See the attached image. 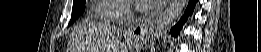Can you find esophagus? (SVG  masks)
<instances>
[{
    "label": "esophagus",
    "instance_id": "34e87169",
    "mask_svg": "<svg viewBox=\"0 0 261 52\" xmlns=\"http://www.w3.org/2000/svg\"><path fill=\"white\" fill-rule=\"evenodd\" d=\"M168 2V0L160 1L155 10L151 12V14L144 17L142 20L136 22L135 24L131 25L128 28L126 34L134 38H140L144 36L147 33L148 28L154 23V21L165 9Z\"/></svg>",
    "mask_w": 261,
    "mask_h": 52
}]
</instances>
